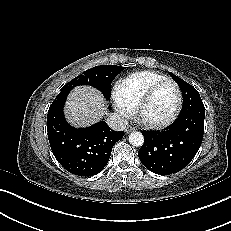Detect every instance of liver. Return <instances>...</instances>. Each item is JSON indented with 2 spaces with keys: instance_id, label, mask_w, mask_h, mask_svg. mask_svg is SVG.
I'll list each match as a JSON object with an SVG mask.
<instances>
[{
  "instance_id": "1",
  "label": "liver",
  "mask_w": 231,
  "mask_h": 231,
  "mask_svg": "<svg viewBox=\"0 0 231 231\" xmlns=\"http://www.w3.org/2000/svg\"><path fill=\"white\" fill-rule=\"evenodd\" d=\"M64 114L74 127L91 126L106 114V100L90 86H76L67 97Z\"/></svg>"
}]
</instances>
